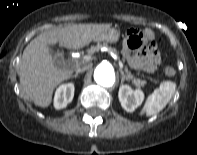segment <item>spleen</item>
<instances>
[{
	"instance_id": "1",
	"label": "spleen",
	"mask_w": 197,
	"mask_h": 155,
	"mask_svg": "<svg viewBox=\"0 0 197 155\" xmlns=\"http://www.w3.org/2000/svg\"><path fill=\"white\" fill-rule=\"evenodd\" d=\"M176 91V84L172 81H164L159 88L150 94L141 110V115L152 116L159 113L171 100Z\"/></svg>"
}]
</instances>
